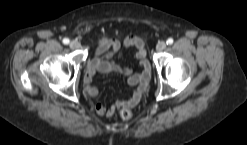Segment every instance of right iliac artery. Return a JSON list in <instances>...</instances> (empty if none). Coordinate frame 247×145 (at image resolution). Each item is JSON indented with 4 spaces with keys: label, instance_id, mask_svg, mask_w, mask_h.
<instances>
[{
    "label": "right iliac artery",
    "instance_id": "82829eb1",
    "mask_svg": "<svg viewBox=\"0 0 247 145\" xmlns=\"http://www.w3.org/2000/svg\"><path fill=\"white\" fill-rule=\"evenodd\" d=\"M69 42H70V41H69V39H68V38H64V39H63V43H64V44H66V45H67V44H69Z\"/></svg>",
    "mask_w": 247,
    "mask_h": 145
}]
</instances>
